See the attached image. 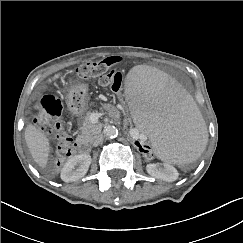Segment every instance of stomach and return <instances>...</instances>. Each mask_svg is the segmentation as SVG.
I'll return each mask as SVG.
<instances>
[{
	"instance_id": "stomach-1",
	"label": "stomach",
	"mask_w": 243,
	"mask_h": 243,
	"mask_svg": "<svg viewBox=\"0 0 243 243\" xmlns=\"http://www.w3.org/2000/svg\"><path fill=\"white\" fill-rule=\"evenodd\" d=\"M87 85L78 84L71 87L66 95L68 109L75 115H81L85 110Z\"/></svg>"
}]
</instances>
